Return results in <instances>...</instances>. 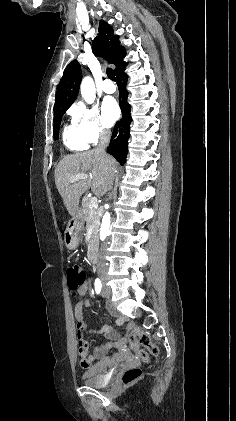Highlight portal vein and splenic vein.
Instances as JSON below:
<instances>
[{
  "label": "portal vein and splenic vein",
  "mask_w": 236,
  "mask_h": 421,
  "mask_svg": "<svg viewBox=\"0 0 236 421\" xmlns=\"http://www.w3.org/2000/svg\"><path fill=\"white\" fill-rule=\"evenodd\" d=\"M79 178H89V174H76V176H71L69 178L70 182H75V180H79ZM98 204V198L96 196H93V198H90V208H93V206H97Z\"/></svg>",
  "instance_id": "portal-vein-and-splenic-vein-1"
}]
</instances>
